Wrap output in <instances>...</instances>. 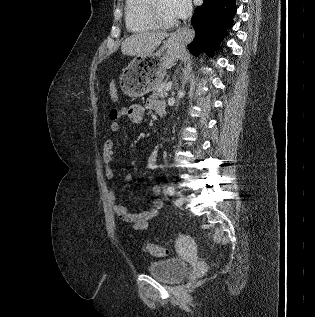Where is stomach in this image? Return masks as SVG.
<instances>
[{
    "label": "stomach",
    "instance_id": "obj_1",
    "mask_svg": "<svg viewBox=\"0 0 315 317\" xmlns=\"http://www.w3.org/2000/svg\"><path fill=\"white\" fill-rule=\"evenodd\" d=\"M183 43L175 36L148 56H136L120 75V87L129 97H141L159 86L166 70L181 57Z\"/></svg>",
    "mask_w": 315,
    "mask_h": 317
}]
</instances>
